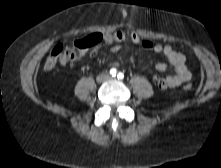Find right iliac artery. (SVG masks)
Returning <instances> with one entry per match:
<instances>
[{
	"mask_svg": "<svg viewBox=\"0 0 221 168\" xmlns=\"http://www.w3.org/2000/svg\"><path fill=\"white\" fill-rule=\"evenodd\" d=\"M110 74H111V76H116V74H117V70L115 69V68H112L111 70H110Z\"/></svg>",
	"mask_w": 221,
	"mask_h": 168,
	"instance_id": "1",
	"label": "right iliac artery"
}]
</instances>
